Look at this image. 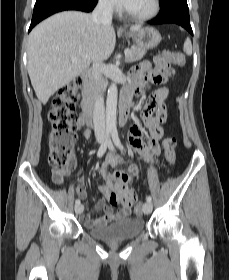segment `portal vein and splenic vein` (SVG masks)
<instances>
[{
    "instance_id": "18ae733b",
    "label": "portal vein and splenic vein",
    "mask_w": 229,
    "mask_h": 280,
    "mask_svg": "<svg viewBox=\"0 0 229 280\" xmlns=\"http://www.w3.org/2000/svg\"><path fill=\"white\" fill-rule=\"evenodd\" d=\"M130 52H131L130 49H126V50L124 51L125 57L129 56ZM70 60H71L72 62H75V61H77V58H76V57H71Z\"/></svg>"
}]
</instances>
